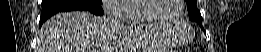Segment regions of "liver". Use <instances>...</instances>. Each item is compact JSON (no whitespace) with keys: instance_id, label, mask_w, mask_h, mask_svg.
Wrapping results in <instances>:
<instances>
[{"instance_id":"1","label":"liver","mask_w":261,"mask_h":52,"mask_svg":"<svg viewBox=\"0 0 261 52\" xmlns=\"http://www.w3.org/2000/svg\"><path fill=\"white\" fill-rule=\"evenodd\" d=\"M118 36L144 48L151 44L150 37L159 40L164 35L143 26L125 28L111 17L89 12L59 13L40 28L37 52H118Z\"/></svg>"}]
</instances>
